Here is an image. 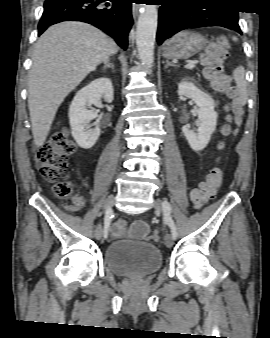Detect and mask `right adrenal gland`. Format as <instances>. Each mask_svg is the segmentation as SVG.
<instances>
[{
	"mask_svg": "<svg viewBox=\"0 0 270 338\" xmlns=\"http://www.w3.org/2000/svg\"><path fill=\"white\" fill-rule=\"evenodd\" d=\"M108 68L114 70V65L107 60L104 62L103 70H106Z\"/></svg>",
	"mask_w": 270,
	"mask_h": 338,
	"instance_id": "right-adrenal-gland-1",
	"label": "right adrenal gland"
}]
</instances>
